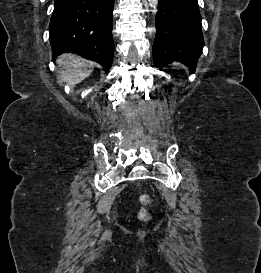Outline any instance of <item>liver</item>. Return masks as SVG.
<instances>
[{
	"mask_svg": "<svg viewBox=\"0 0 261 273\" xmlns=\"http://www.w3.org/2000/svg\"><path fill=\"white\" fill-rule=\"evenodd\" d=\"M57 63L65 68L61 75L62 79L72 86L88 77L91 74L88 67L93 66V63L71 54L60 56Z\"/></svg>",
	"mask_w": 261,
	"mask_h": 273,
	"instance_id": "1",
	"label": "liver"
}]
</instances>
